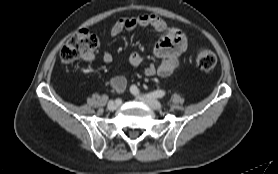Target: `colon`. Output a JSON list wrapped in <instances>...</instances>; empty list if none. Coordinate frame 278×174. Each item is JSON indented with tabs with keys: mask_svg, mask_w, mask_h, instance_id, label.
Wrapping results in <instances>:
<instances>
[{
	"mask_svg": "<svg viewBox=\"0 0 278 174\" xmlns=\"http://www.w3.org/2000/svg\"><path fill=\"white\" fill-rule=\"evenodd\" d=\"M98 47V39L87 30L75 32L63 45L60 51V58L66 63L78 59L91 57ZM196 65L202 71L212 70L216 63V55L209 49H200L196 54Z\"/></svg>",
	"mask_w": 278,
	"mask_h": 174,
	"instance_id": "colon-1",
	"label": "colon"
}]
</instances>
